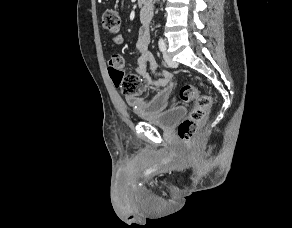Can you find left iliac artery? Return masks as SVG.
I'll return each instance as SVG.
<instances>
[{
	"instance_id": "left-iliac-artery-1",
	"label": "left iliac artery",
	"mask_w": 292,
	"mask_h": 228,
	"mask_svg": "<svg viewBox=\"0 0 292 228\" xmlns=\"http://www.w3.org/2000/svg\"><path fill=\"white\" fill-rule=\"evenodd\" d=\"M158 46H159L160 51H162V52L166 51V44H165V41L163 40V38L159 39Z\"/></svg>"
}]
</instances>
